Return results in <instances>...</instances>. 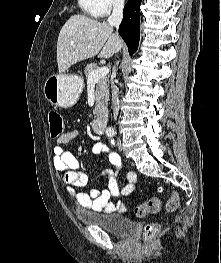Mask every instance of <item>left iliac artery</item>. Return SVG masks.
Instances as JSON below:
<instances>
[{
  "instance_id": "44dca946",
  "label": "left iliac artery",
  "mask_w": 221,
  "mask_h": 263,
  "mask_svg": "<svg viewBox=\"0 0 221 263\" xmlns=\"http://www.w3.org/2000/svg\"><path fill=\"white\" fill-rule=\"evenodd\" d=\"M111 144H112V145H114V144H115V142H114V139H113V138H111Z\"/></svg>"
}]
</instances>
